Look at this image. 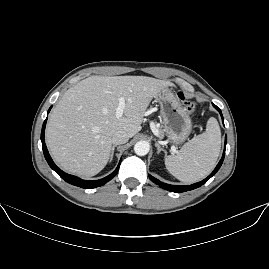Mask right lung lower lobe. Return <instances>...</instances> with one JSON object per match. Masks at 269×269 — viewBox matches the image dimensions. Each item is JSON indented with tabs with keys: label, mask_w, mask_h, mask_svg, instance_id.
<instances>
[{
	"label": "right lung lower lobe",
	"mask_w": 269,
	"mask_h": 269,
	"mask_svg": "<svg viewBox=\"0 0 269 269\" xmlns=\"http://www.w3.org/2000/svg\"><path fill=\"white\" fill-rule=\"evenodd\" d=\"M52 108V106L49 108L48 113L50 111V109ZM46 120L43 123L42 126V131H41V141H42V148H43V153L45 156L46 161L48 162L49 166L66 182L84 188V189H91V188H95V187H99L104 185L106 182H108L109 180H111L113 177L116 176V174L118 173L119 170V165L117 166V168L115 169L114 172H112L110 175H108L105 178L99 179V180H93V181H87V180H82L76 176L73 175H69L65 172H63L61 169H59L55 163L53 162L52 158L50 157L46 144H45V139H44V133H45V125H46ZM121 162V161H120Z\"/></svg>",
	"instance_id": "right-lung-lower-lobe-1"
}]
</instances>
